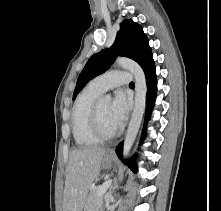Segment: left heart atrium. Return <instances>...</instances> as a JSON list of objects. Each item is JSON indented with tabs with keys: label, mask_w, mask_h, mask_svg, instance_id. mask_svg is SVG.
<instances>
[{
	"label": "left heart atrium",
	"mask_w": 221,
	"mask_h": 211,
	"mask_svg": "<svg viewBox=\"0 0 221 211\" xmlns=\"http://www.w3.org/2000/svg\"><path fill=\"white\" fill-rule=\"evenodd\" d=\"M130 103L122 91L116 92L109 106V116L116 129L121 128L128 116Z\"/></svg>",
	"instance_id": "1"
}]
</instances>
